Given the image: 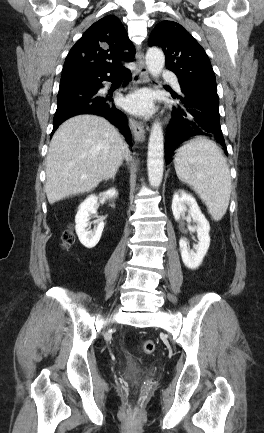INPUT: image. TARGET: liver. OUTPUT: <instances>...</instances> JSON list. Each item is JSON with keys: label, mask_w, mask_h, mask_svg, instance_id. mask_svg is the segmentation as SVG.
I'll return each instance as SVG.
<instances>
[{"label": "liver", "mask_w": 264, "mask_h": 433, "mask_svg": "<svg viewBox=\"0 0 264 433\" xmlns=\"http://www.w3.org/2000/svg\"><path fill=\"white\" fill-rule=\"evenodd\" d=\"M106 119L79 115L55 132L46 157L45 192L52 205L73 195L90 192L117 171L130 152Z\"/></svg>", "instance_id": "1"}]
</instances>
